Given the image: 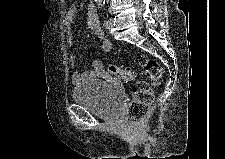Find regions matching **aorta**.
I'll use <instances>...</instances> for the list:
<instances>
[{
	"label": "aorta",
	"mask_w": 225,
	"mask_h": 159,
	"mask_svg": "<svg viewBox=\"0 0 225 159\" xmlns=\"http://www.w3.org/2000/svg\"><path fill=\"white\" fill-rule=\"evenodd\" d=\"M96 2H97L99 5L105 4V1H104V0H97Z\"/></svg>",
	"instance_id": "762f6f07"
}]
</instances>
